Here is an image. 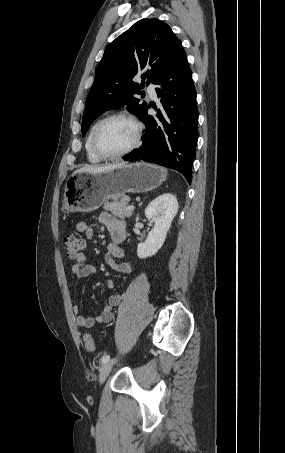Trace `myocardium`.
Listing matches in <instances>:
<instances>
[{"instance_id":"1","label":"myocardium","mask_w":285,"mask_h":453,"mask_svg":"<svg viewBox=\"0 0 285 453\" xmlns=\"http://www.w3.org/2000/svg\"><path fill=\"white\" fill-rule=\"evenodd\" d=\"M116 118H123V119H126L128 121H130L134 127H135V138H134V141L133 143L128 147L126 148L125 150L121 151V152H118V153H114V154H107V153H104L103 151L100 150L99 146H98V135H99V132L102 128V126L112 120V119H116ZM143 132H144V127H143V124L141 123V121L135 117L133 114L127 112V111H117V112H114V113H111L109 115H107L106 117H104L103 119H101L95 126L94 128V131H93V134H92V149L94 151V153L100 157L101 159L103 160H113V159H118V158H121V157H124L128 154H130L131 152H133L135 149H137L140 144H141V140H142V137H143Z\"/></svg>"}]
</instances>
